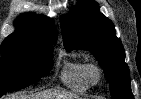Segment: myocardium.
<instances>
[{
    "label": "myocardium",
    "instance_id": "myocardium-1",
    "mask_svg": "<svg viewBox=\"0 0 141 99\" xmlns=\"http://www.w3.org/2000/svg\"><path fill=\"white\" fill-rule=\"evenodd\" d=\"M85 75L91 85L98 84L103 78L102 68L97 63H88L85 70Z\"/></svg>",
    "mask_w": 141,
    "mask_h": 99
}]
</instances>
